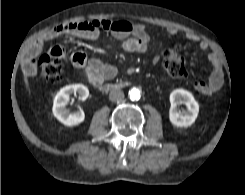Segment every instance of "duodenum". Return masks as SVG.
<instances>
[{"label": "duodenum", "instance_id": "obj_1", "mask_svg": "<svg viewBox=\"0 0 245 195\" xmlns=\"http://www.w3.org/2000/svg\"><path fill=\"white\" fill-rule=\"evenodd\" d=\"M99 86L104 90H115L121 88L123 84H104Z\"/></svg>", "mask_w": 245, "mask_h": 195}]
</instances>
